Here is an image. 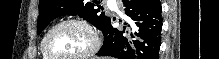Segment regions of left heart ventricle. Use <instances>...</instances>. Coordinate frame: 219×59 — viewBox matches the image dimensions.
Wrapping results in <instances>:
<instances>
[{
    "mask_svg": "<svg viewBox=\"0 0 219 59\" xmlns=\"http://www.w3.org/2000/svg\"><path fill=\"white\" fill-rule=\"evenodd\" d=\"M91 43V36L86 29L77 24H67L51 34L48 47L56 56L69 57L85 52Z\"/></svg>",
    "mask_w": 219,
    "mask_h": 59,
    "instance_id": "obj_1",
    "label": "left heart ventricle"
}]
</instances>
